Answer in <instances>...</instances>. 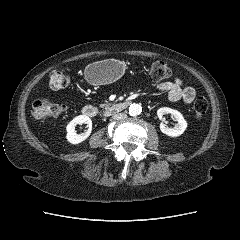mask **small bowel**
Here are the masks:
<instances>
[{
    "mask_svg": "<svg viewBox=\"0 0 240 240\" xmlns=\"http://www.w3.org/2000/svg\"><path fill=\"white\" fill-rule=\"evenodd\" d=\"M157 91L167 93L168 100L183 105L190 104L196 96V90L191 86H184L180 78L175 77L172 80L158 82L155 84Z\"/></svg>",
    "mask_w": 240,
    "mask_h": 240,
    "instance_id": "1",
    "label": "small bowel"
}]
</instances>
